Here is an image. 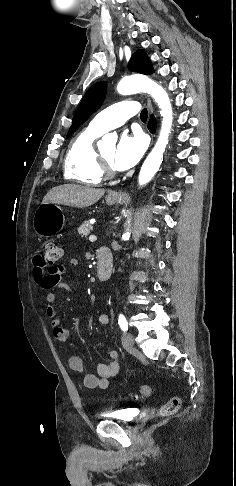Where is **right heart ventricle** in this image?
I'll list each match as a JSON object with an SVG mask.
<instances>
[{
	"mask_svg": "<svg viewBox=\"0 0 236 486\" xmlns=\"http://www.w3.org/2000/svg\"><path fill=\"white\" fill-rule=\"evenodd\" d=\"M99 135L88 127L72 139L64 159L65 179L90 186L102 182L94 148V141Z\"/></svg>",
	"mask_w": 236,
	"mask_h": 486,
	"instance_id": "obj_1",
	"label": "right heart ventricle"
}]
</instances>
